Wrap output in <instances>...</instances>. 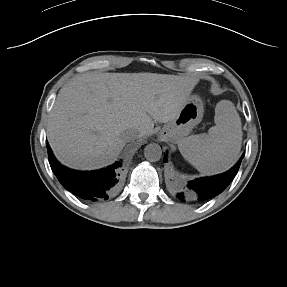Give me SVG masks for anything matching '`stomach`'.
<instances>
[{
	"label": "stomach",
	"mask_w": 287,
	"mask_h": 287,
	"mask_svg": "<svg viewBox=\"0 0 287 287\" xmlns=\"http://www.w3.org/2000/svg\"><path fill=\"white\" fill-rule=\"evenodd\" d=\"M204 107L202 101L195 95L189 96L178 116L168 122L160 135L166 140L178 143L182 138L189 135L192 129L201 122Z\"/></svg>",
	"instance_id": "stomach-1"
}]
</instances>
